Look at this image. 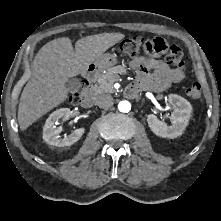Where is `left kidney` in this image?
<instances>
[{"instance_id":"1","label":"left kidney","mask_w":221,"mask_h":221,"mask_svg":"<svg viewBox=\"0 0 221 221\" xmlns=\"http://www.w3.org/2000/svg\"><path fill=\"white\" fill-rule=\"evenodd\" d=\"M168 100L173 105V112L170 117L173 125L167 126L154 114L147 116V122L152 132L157 136L173 139L180 136L188 125L192 106L185 98L176 94H170Z\"/></svg>"}]
</instances>
